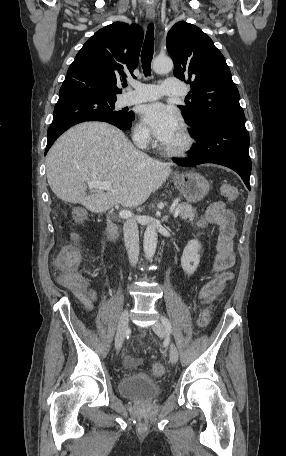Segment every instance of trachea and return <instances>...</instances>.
<instances>
[{"mask_svg":"<svg viewBox=\"0 0 286 456\" xmlns=\"http://www.w3.org/2000/svg\"><path fill=\"white\" fill-rule=\"evenodd\" d=\"M153 52H154V26L153 24L148 25V30L147 34L145 37V41L142 47V52H141V63H142V68L145 76H150L151 75V61L153 57ZM124 86H127L125 84Z\"/></svg>","mask_w":286,"mask_h":456,"instance_id":"trachea-1","label":"trachea"}]
</instances>
